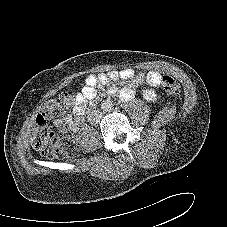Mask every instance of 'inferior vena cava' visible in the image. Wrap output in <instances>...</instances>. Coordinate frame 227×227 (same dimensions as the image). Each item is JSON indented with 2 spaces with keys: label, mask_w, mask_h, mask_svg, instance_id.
<instances>
[{
  "label": "inferior vena cava",
  "mask_w": 227,
  "mask_h": 227,
  "mask_svg": "<svg viewBox=\"0 0 227 227\" xmlns=\"http://www.w3.org/2000/svg\"><path fill=\"white\" fill-rule=\"evenodd\" d=\"M97 114V111H93L90 113V117H94Z\"/></svg>",
  "instance_id": "1"
}]
</instances>
